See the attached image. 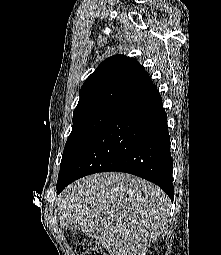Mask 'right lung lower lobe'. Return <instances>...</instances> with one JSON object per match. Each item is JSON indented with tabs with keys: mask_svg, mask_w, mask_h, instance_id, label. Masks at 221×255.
Masks as SVG:
<instances>
[{
	"mask_svg": "<svg viewBox=\"0 0 221 255\" xmlns=\"http://www.w3.org/2000/svg\"><path fill=\"white\" fill-rule=\"evenodd\" d=\"M169 142L162 98L151 85L116 109L66 176L57 182V193L83 176L120 171L157 184L173 201Z\"/></svg>",
	"mask_w": 221,
	"mask_h": 255,
	"instance_id": "98d812e1",
	"label": "right lung lower lobe"
}]
</instances>
